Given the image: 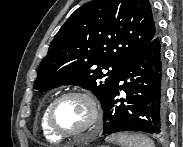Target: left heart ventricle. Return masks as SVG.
<instances>
[{
  "label": "left heart ventricle",
  "instance_id": "obj_1",
  "mask_svg": "<svg viewBox=\"0 0 183 147\" xmlns=\"http://www.w3.org/2000/svg\"><path fill=\"white\" fill-rule=\"evenodd\" d=\"M54 123L62 131H78L87 126L91 111L86 101L79 97H68L58 103L54 110Z\"/></svg>",
  "mask_w": 183,
  "mask_h": 147
}]
</instances>
